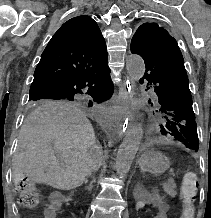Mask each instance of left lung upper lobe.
<instances>
[{"mask_svg":"<svg viewBox=\"0 0 211 218\" xmlns=\"http://www.w3.org/2000/svg\"><path fill=\"white\" fill-rule=\"evenodd\" d=\"M131 52L145 62L146 71L140 82L145 81L157 95L148 103L161 134L198 150L189 81L176 40L158 24L144 23L132 38Z\"/></svg>","mask_w":211,"mask_h":218,"instance_id":"obj_1","label":"left lung upper lobe"}]
</instances>
